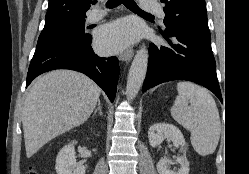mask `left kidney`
<instances>
[{
  "mask_svg": "<svg viewBox=\"0 0 249 174\" xmlns=\"http://www.w3.org/2000/svg\"><path fill=\"white\" fill-rule=\"evenodd\" d=\"M149 143L152 147L159 146L164 139L173 142L175 147H180L183 155L179 156L176 163L180 164L177 171L170 170V164L173 162L167 158H161L157 163L159 174H189V162L186 158V142L182 132L174 125L167 123L153 124L148 131Z\"/></svg>",
  "mask_w": 249,
  "mask_h": 174,
  "instance_id": "left-kidney-1",
  "label": "left kidney"
}]
</instances>
